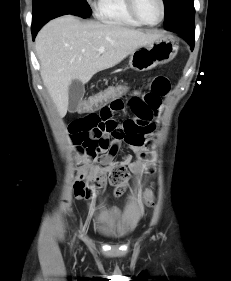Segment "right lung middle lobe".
<instances>
[{"mask_svg":"<svg viewBox=\"0 0 231 281\" xmlns=\"http://www.w3.org/2000/svg\"><path fill=\"white\" fill-rule=\"evenodd\" d=\"M48 0H33V12L37 11ZM77 8L85 16L91 14V8L85 0H60Z\"/></svg>","mask_w":231,"mask_h":281,"instance_id":"1","label":"right lung middle lobe"}]
</instances>
